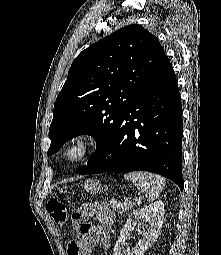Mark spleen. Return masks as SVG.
<instances>
[{
	"mask_svg": "<svg viewBox=\"0 0 221 255\" xmlns=\"http://www.w3.org/2000/svg\"><path fill=\"white\" fill-rule=\"evenodd\" d=\"M124 178L130 180L140 191L144 192L149 201L156 200L165 186L164 178L149 172H131L125 174Z\"/></svg>",
	"mask_w": 221,
	"mask_h": 255,
	"instance_id": "obj_1",
	"label": "spleen"
}]
</instances>
